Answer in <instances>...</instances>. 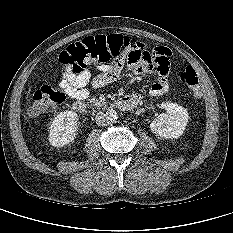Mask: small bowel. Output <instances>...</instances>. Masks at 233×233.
Here are the masks:
<instances>
[{
    "label": "small bowel",
    "mask_w": 233,
    "mask_h": 233,
    "mask_svg": "<svg viewBox=\"0 0 233 233\" xmlns=\"http://www.w3.org/2000/svg\"><path fill=\"white\" fill-rule=\"evenodd\" d=\"M171 51L166 47H157L148 49L143 43L134 44L130 51L124 56L122 60H115L113 63L98 64L97 70L99 73L95 76L89 68H86L78 74L64 73L60 85L65 90L66 94L76 99L77 101H85L89 97L87 86L91 84L95 88L104 87L114 82L119 74L125 70V65L134 70L136 73L141 74L144 72H151L157 76L149 90L151 96H160L169 91V82L167 74L171 70V63L169 57ZM132 95H141L134 92Z\"/></svg>",
    "instance_id": "obj_1"
}]
</instances>
